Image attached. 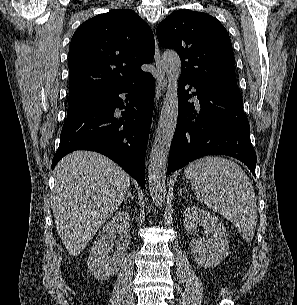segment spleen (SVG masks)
I'll use <instances>...</instances> for the list:
<instances>
[{
	"mask_svg": "<svg viewBox=\"0 0 297 305\" xmlns=\"http://www.w3.org/2000/svg\"><path fill=\"white\" fill-rule=\"evenodd\" d=\"M185 176L196 198L229 219L241 237L250 242L257 224L256 198L250 179L236 163L208 156L190 163Z\"/></svg>",
	"mask_w": 297,
	"mask_h": 305,
	"instance_id": "obj_1",
	"label": "spleen"
}]
</instances>
